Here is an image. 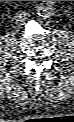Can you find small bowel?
<instances>
[{
  "label": "small bowel",
  "instance_id": "1",
  "mask_svg": "<svg viewBox=\"0 0 74 122\" xmlns=\"http://www.w3.org/2000/svg\"><path fill=\"white\" fill-rule=\"evenodd\" d=\"M53 1H47L44 6L40 8L43 13H49L52 10Z\"/></svg>",
  "mask_w": 74,
  "mask_h": 122
}]
</instances>
